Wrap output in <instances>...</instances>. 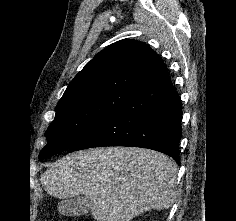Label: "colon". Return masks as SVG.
I'll use <instances>...</instances> for the list:
<instances>
[{
    "instance_id": "5ec220e1",
    "label": "colon",
    "mask_w": 236,
    "mask_h": 221,
    "mask_svg": "<svg viewBox=\"0 0 236 221\" xmlns=\"http://www.w3.org/2000/svg\"><path fill=\"white\" fill-rule=\"evenodd\" d=\"M82 221H90L89 219H83Z\"/></svg>"
}]
</instances>
